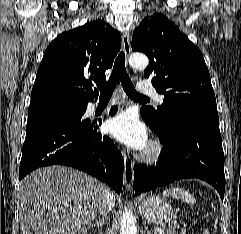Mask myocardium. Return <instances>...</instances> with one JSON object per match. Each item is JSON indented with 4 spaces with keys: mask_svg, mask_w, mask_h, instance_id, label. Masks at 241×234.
Instances as JSON below:
<instances>
[{
    "mask_svg": "<svg viewBox=\"0 0 241 234\" xmlns=\"http://www.w3.org/2000/svg\"><path fill=\"white\" fill-rule=\"evenodd\" d=\"M163 153V146L159 141H151L147 148L140 155V159L152 163L160 159Z\"/></svg>",
    "mask_w": 241,
    "mask_h": 234,
    "instance_id": "f54148a6",
    "label": "myocardium"
}]
</instances>
